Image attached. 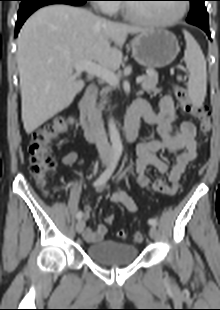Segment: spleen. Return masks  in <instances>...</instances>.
Returning <instances> with one entry per match:
<instances>
[{"mask_svg":"<svg viewBox=\"0 0 220 310\" xmlns=\"http://www.w3.org/2000/svg\"><path fill=\"white\" fill-rule=\"evenodd\" d=\"M183 33L186 40L184 60L189 71V80L186 86L191 100L195 104L201 105L206 96V61L194 37L187 31Z\"/></svg>","mask_w":220,"mask_h":310,"instance_id":"3e777b00","label":"spleen"}]
</instances>
